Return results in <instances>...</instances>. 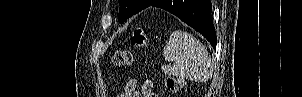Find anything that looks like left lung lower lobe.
<instances>
[{"label": "left lung lower lobe", "mask_w": 302, "mask_h": 97, "mask_svg": "<svg viewBox=\"0 0 302 97\" xmlns=\"http://www.w3.org/2000/svg\"><path fill=\"white\" fill-rule=\"evenodd\" d=\"M150 6L162 8L180 18L201 33L216 47V32L213 25L210 0H155Z\"/></svg>", "instance_id": "left-lung-lower-lobe-1"}]
</instances>
